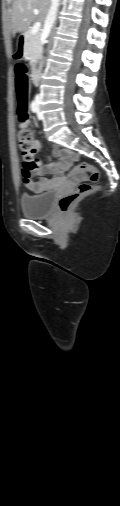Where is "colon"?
I'll return each instance as SVG.
<instances>
[{"label": "colon", "instance_id": "colon-1", "mask_svg": "<svg viewBox=\"0 0 120 506\" xmlns=\"http://www.w3.org/2000/svg\"><path fill=\"white\" fill-rule=\"evenodd\" d=\"M27 53V52H26ZM14 57L19 62H24L27 54L24 58ZM16 77V94H17V114L20 124H25L28 121V103L27 94L29 89V71L24 68H19L15 72ZM18 145L21 150L23 159V166L25 170L33 171L38 166V160L36 154L38 151V141L34 138L32 133L25 128H22L17 133ZM74 171L89 172L90 183L82 182L77 186V189L61 197L58 201V209L60 212H66L77 200L92 193L96 186L94 185L100 179L99 171L92 165L82 162L74 167Z\"/></svg>", "mask_w": 120, "mask_h": 506}]
</instances>
